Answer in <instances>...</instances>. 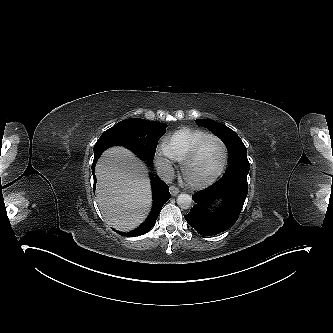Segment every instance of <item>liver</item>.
I'll list each match as a JSON object with an SVG mask.
<instances>
[{
  "label": "liver",
  "mask_w": 333,
  "mask_h": 333,
  "mask_svg": "<svg viewBox=\"0 0 333 333\" xmlns=\"http://www.w3.org/2000/svg\"><path fill=\"white\" fill-rule=\"evenodd\" d=\"M146 165L124 147L106 150L96 165V201L103 218L130 231L147 217L152 197Z\"/></svg>",
  "instance_id": "liver-1"
}]
</instances>
